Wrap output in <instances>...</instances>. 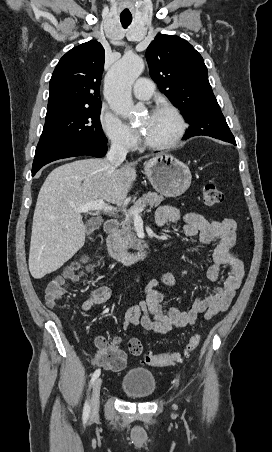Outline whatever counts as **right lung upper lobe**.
Instances as JSON below:
<instances>
[{"label": "right lung upper lobe", "mask_w": 272, "mask_h": 452, "mask_svg": "<svg viewBox=\"0 0 272 452\" xmlns=\"http://www.w3.org/2000/svg\"><path fill=\"white\" fill-rule=\"evenodd\" d=\"M104 60V48L97 41L83 43L67 52L50 80L47 114L101 105L99 88Z\"/></svg>", "instance_id": "right-lung-upper-lobe-1"}]
</instances>
